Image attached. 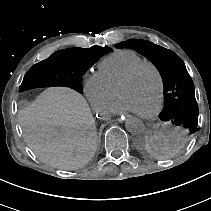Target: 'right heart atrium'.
I'll list each match as a JSON object with an SVG mask.
<instances>
[{
	"instance_id": "d8ad5b80",
	"label": "right heart atrium",
	"mask_w": 211,
	"mask_h": 211,
	"mask_svg": "<svg viewBox=\"0 0 211 211\" xmlns=\"http://www.w3.org/2000/svg\"><path fill=\"white\" fill-rule=\"evenodd\" d=\"M83 90L96 112H104L111 105L115 92L98 73H93L83 82Z\"/></svg>"
}]
</instances>
